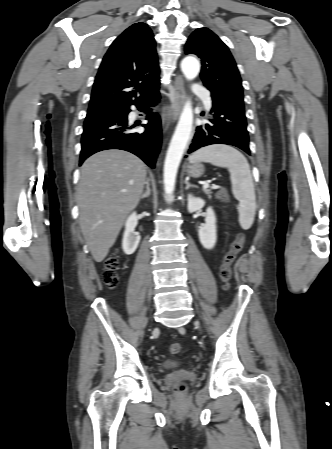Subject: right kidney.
Masks as SVG:
<instances>
[{"mask_svg":"<svg viewBox=\"0 0 332 449\" xmlns=\"http://www.w3.org/2000/svg\"><path fill=\"white\" fill-rule=\"evenodd\" d=\"M138 216L133 212L125 223V231L123 235L122 248L125 254H133L140 242V235L135 232V227L138 224Z\"/></svg>","mask_w":332,"mask_h":449,"instance_id":"right-kidney-1","label":"right kidney"}]
</instances>
